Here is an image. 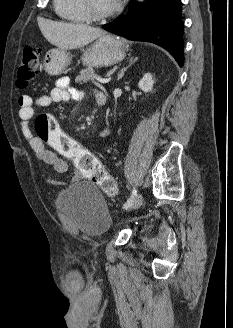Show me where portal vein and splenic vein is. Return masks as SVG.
<instances>
[{"label":"portal vein and splenic vein","instance_id":"1","mask_svg":"<svg viewBox=\"0 0 233 328\" xmlns=\"http://www.w3.org/2000/svg\"><path fill=\"white\" fill-rule=\"evenodd\" d=\"M98 82L102 83V84H105V83H108L111 81V77H107V78H100V77H97L95 78Z\"/></svg>","mask_w":233,"mask_h":328}]
</instances>
